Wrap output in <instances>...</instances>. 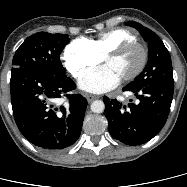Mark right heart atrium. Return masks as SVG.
<instances>
[{"mask_svg":"<svg viewBox=\"0 0 187 187\" xmlns=\"http://www.w3.org/2000/svg\"><path fill=\"white\" fill-rule=\"evenodd\" d=\"M101 59L88 40L84 38L73 40L65 47L63 52L64 64L75 78H80L94 68L101 62Z\"/></svg>","mask_w":187,"mask_h":187,"instance_id":"obj_1","label":"right heart atrium"}]
</instances>
